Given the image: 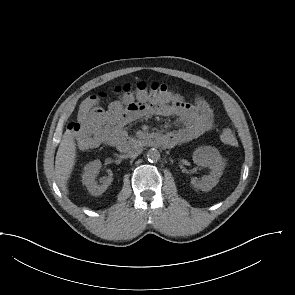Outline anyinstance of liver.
<instances>
[{"label":"liver","instance_id":"liver-1","mask_svg":"<svg viewBox=\"0 0 295 295\" xmlns=\"http://www.w3.org/2000/svg\"><path fill=\"white\" fill-rule=\"evenodd\" d=\"M75 158L76 144L72 133L67 130L60 142L55 160L57 184L65 194H68L67 181L75 165Z\"/></svg>","mask_w":295,"mask_h":295}]
</instances>
